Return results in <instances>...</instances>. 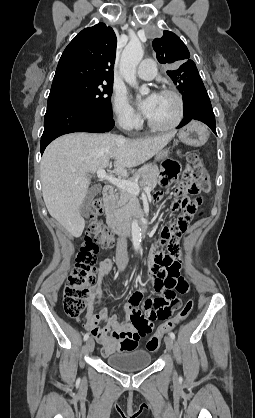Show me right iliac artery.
Segmentation results:
<instances>
[{
    "instance_id": "right-iliac-artery-1",
    "label": "right iliac artery",
    "mask_w": 255,
    "mask_h": 418,
    "mask_svg": "<svg viewBox=\"0 0 255 418\" xmlns=\"http://www.w3.org/2000/svg\"><path fill=\"white\" fill-rule=\"evenodd\" d=\"M88 338H89V334H88V333H86V334L84 335V341H86Z\"/></svg>"
}]
</instances>
